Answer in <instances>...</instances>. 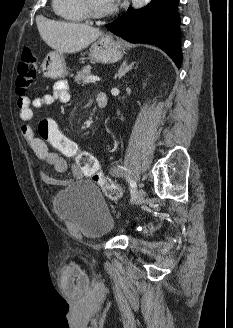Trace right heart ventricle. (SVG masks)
<instances>
[{
	"mask_svg": "<svg viewBox=\"0 0 233 328\" xmlns=\"http://www.w3.org/2000/svg\"><path fill=\"white\" fill-rule=\"evenodd\" d=\"M53 8L65 20L79 22L87 17L82 0H53Z\"/></svg>",
	"mask_w": 233,
	"mask_h": 328,
	"instance_id": "1",
	"label": "right heart ventricle"
}]
</instances>
